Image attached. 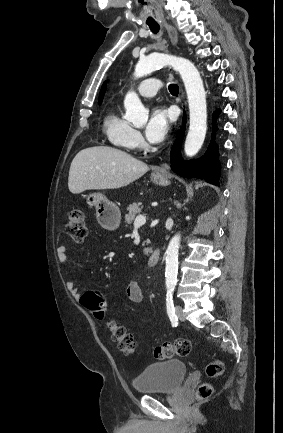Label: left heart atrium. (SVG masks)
Listing matches in <instances>:
<instances>
[{
  "label": "left heart atrium",
  "mask_w": 283,
  "mask_h": 433,
  "mask_svg": "<svg viewBox=\"0 0 283 433\" xmlns=\"http://www.w3.org/2000/svg\"><path fill=\"white\" fill-rule=\"evenodd\" d=\"M170 130L169 112L161 105H155L147 124L145 135L151 145L162 143Z\"/></svg>",
  "instance_id": "1"
}]
</instances>
